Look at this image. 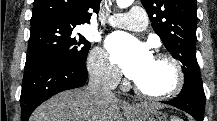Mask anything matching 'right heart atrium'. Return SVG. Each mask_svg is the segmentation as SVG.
<instances>
[{
    "instance_id": "right-heart-atrium-1",
    "label": "right heart atrium",
    "mask_w": 217,
    "mask_h": 121,
    "mask_svg": "<svg viewBox=\"0 0 217 121\" xmlns=\"http://www.w3.org/2000/svg\"><path fill=\"white\" fill-rule=\"evenodd\" d=\"M87 69L96 82L105 86L114 87L121 80L118 69L110 62L106 51L100 47L89 53Z\"/></svg>"
}]
</instances>
